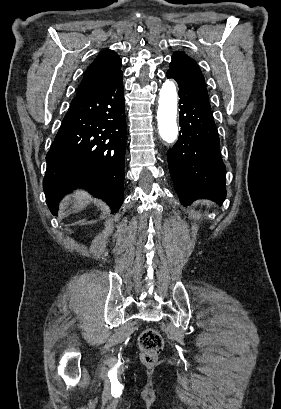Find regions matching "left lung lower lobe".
Wrapping results in <instances>:
<instances>
[{
    "instance_id": "obj_1",
    "label": "left lung lower lobe",
    "mask_w": 281,
    "mask_h": 409,
    "mask_svg": "<svg viewBox=\"0 0 281 409\" xmlns=\"http://www.w3.org/2000/svg\"><path fill=\"white\" fill-rule=\"evenodd\" d=\"M166 75L179 85L181 134L167 152L176 192L184 206L201 198L221 204L226 198L225 165L209 99L169 71Z\"/></svg>"
}]
</instances>
